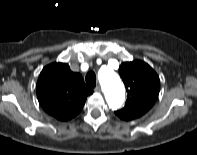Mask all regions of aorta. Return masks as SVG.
I'll return each instance as SVG.
<instances>
[{
    "instance_id": "obj_1",
    "label": "aorta",
    "mask_w": 197,
    "mask_h": 155,
    "mask_svg": "<svg viewBox=\"0 0 197 155\" xmlns=\"http://www.w3.org/2000/svg\"><path fill=\"white\" fill-rule=\"evenodd\" d=\"M98 78L109 107L119 108L125 99V89L118 74L112 68L105 66L99 70Z\"/></svg>"
}]
</instances>
